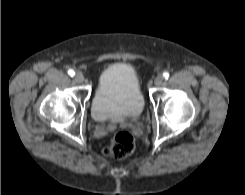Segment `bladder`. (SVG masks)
Returning <instances> with one entry per match:
<instances>
[{"label":"bladder","instance_id":"1","mask_svg":"<svg viewBox=\"0 0 245 195\" xmlns=\"http://www.w3.org/2000/svg\"><path fill=\"white\" fill-rule=\"evenodd\" d=\"M144 109V97L135 69L127 63H114L100 75L91 115L97 122L135 119Z\"/></svg>","mask_w":245,"mask_h":195}]
</instances>
